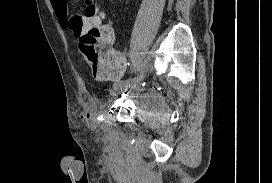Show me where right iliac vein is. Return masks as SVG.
<instances>
[{"label": "right iliac vein", "mask_w": 272, "mask_h": 183, "mask_svg": "<svg viewBox=\"0 0 272 183\" xmlns=\"http://www.w3.org/2000/svg\"><path fill=\"white\" fill-rule=\"evenodd\" d=\"M143 79V74L141 73L134 80H129L128 82H122L119 86H117L114 90L111 91V95H117L120 92L127 91L128 89H135L140 81Z\"/></svg>", "instance_id": "obj_1"}]
</instances>
